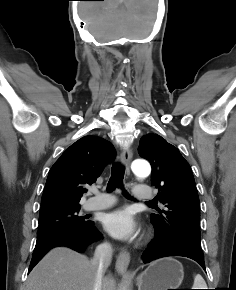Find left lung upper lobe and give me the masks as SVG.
<instances>
[{"mask_svg": "<svg viewBox=\"0 0 236 290\" xmlns=\"http://www.w3.org/2000/svg\"><path fill=\"white\" fill-rule=\"evenodd\" d=\"M138 151L150 162L151 184L159 189L158 199L166 207L160 215L151 214L154 228L170 239L187 236L200 243L199 196L188 162L158 134L144 135Z\"/></svg>", "mask_w": 236, "mask_h": 290, "instance_id": "left-lung-upper-lobe-1", "label": "left lung upper lobe"}]
</instances>
